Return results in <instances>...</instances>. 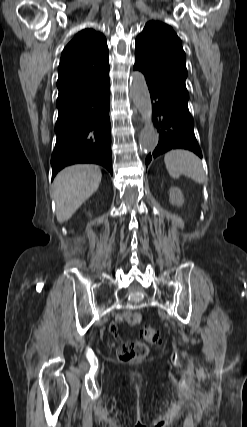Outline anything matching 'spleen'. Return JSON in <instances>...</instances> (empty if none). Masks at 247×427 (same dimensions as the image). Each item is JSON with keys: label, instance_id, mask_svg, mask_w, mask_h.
<instances>
[{"label": "spleen", "instance_id": "spleen-1", "mask_svg": "<svg viewBox=\"0 0 247 427\" xmlns=\"http://www.w3.org/2000/svg\"><path fill=\"white\" fill-rule=\"evenodd\" d=\"M164 162L169 175L177 179L181 174L202 184L206 177L200 159L187 150H171L165 154Z\"/></svg>", "mask_w": 247, "mask_h": 427}]
</instances>
